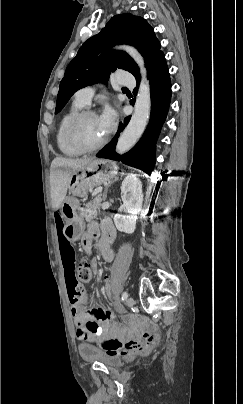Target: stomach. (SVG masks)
<instances>
[{"label": "stomach", "instance_id": "obj_1", "mask_svg": "<svg viewBox=\"0 0 243 404\" xmlns=\"http://www.w3.org/2000/svg\"><path fill=\"white\" fill-rule=\"evenodd\" d=\"M118 172L115 162L94 158L90 163L72 171L68 189L72 197L65 199L61 211L67 225L64 236L68 241L77 240L85 228L84 218L79 213L75 196H84L88 190L112 179Z\"/></svg>", "mask_w": 243, "mask_h": 404}]
</instances>
